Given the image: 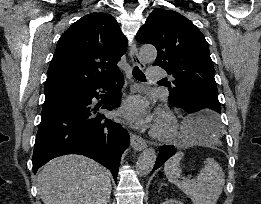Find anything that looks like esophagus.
I'll return each instance as SVG.
<instances>
[{"label": "esophagus", "instance_id": "1", "mask_svg": "<svg viewBox=\"0 0 261 204\" xmlns=\"http://www.w3.org/2000/svg\"><path fill=\"white\" fill-rule=\"evenodd\" d=\"M129 55L134 66H138L141 69L145 68V63L140 59L138 55L136 44L132 45ZM131 145L136 151H141L147 147L146 141L141 136L136 134L131 135Z\"/></svg>", "mask_w": 261, "mask_h": 204}]
</instances>
